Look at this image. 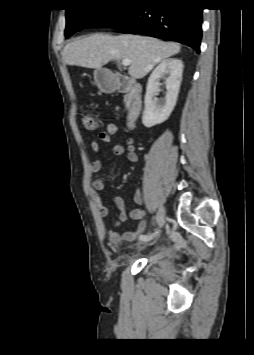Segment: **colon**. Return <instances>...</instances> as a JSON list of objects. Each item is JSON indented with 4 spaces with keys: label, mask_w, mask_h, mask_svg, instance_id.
I'll return each mask as SVG.
<instances>
[{
    "label": "colon",
    "mask_w": 254,
    "mask_h": 355,
    "mask_svg": "<svg viewBox=\"0 0 254 355\" xmlns=\"http://www.w3.org/2000/svg\"><path fill=\"white\" fill-rule=\"evenodd\" d=\"M82 127L88 132H93L98 128L97 119L91 114H84L81 118Z\"/></svg>",
    "instance_id": "colon-1"
}]
</instances>
